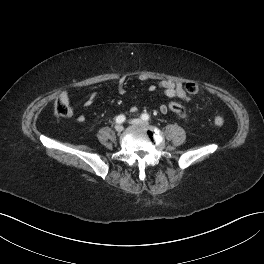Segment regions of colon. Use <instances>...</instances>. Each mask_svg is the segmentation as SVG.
Here are the masks:
<instances>
[{
	"label": "colon",
	"instance_id": "5ec220e1",
	"mask_svg": "<svg viewBox=\"0 0 264 264\" xmlns=\"http://www.w3.org/2000/svg\"><path fill=\"white\" fill-rule=\"evenodd\" d=\"M185 90L188 94L195 95L199 92V86L194 82H189L185 85ZM169 110L177 115L181 119H187V112L185 108L179 104L178 102L172 101L168 104ZM70 108L69 106L58 100L55 104V114L58 117H67L69 116ZM214 123L217 126H223L224 125V119L221 116H216L214 118Z\"/></svg>",
	"mask_w": 264,
	"mask_h": 264
}]
</instances>
